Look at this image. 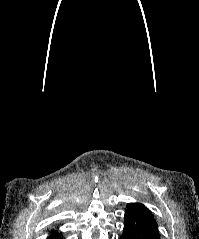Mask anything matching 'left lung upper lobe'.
I'll list each match as a JSON object with an SVG mask.
<instances>
[{
  "mask_svg": "<svg viewBox=\"0 0 199 239\" xmlns=\"http://www.w3.org/2000/svg\"><path fill=\"white\" fill-rule=\"evenodd\" d=\"M127 210H133V211H136V212H139L145 216H147L148 218L154 220L152 214L150 213L149 209L146 208L144 205L142 204H138V203H133V204H129L127 206ZM155 221V220H154Z\"/></svg>",
  "mask_w": 199,
  "mask_h": 239,
  "instance_id": "left-lung-upper-lobe-1",
  "label": "left lung upper lobe"
}]
</instances>
